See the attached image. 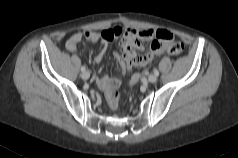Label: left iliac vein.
Wrapping results in <instances>:
<instances>
[{
	"mask_svg": "<svg viewBox=\"0 0 238 158\" xmlns=\"http://www.w3.org/2000/svg\"><path fill=\"white\" fill-rule=\"evenodd\" d=\"M148 81H149L150 83H155V82L157 81V75H155V74L149 75Z\"/></svg>",
	"mask_w": 238,
	"mask_h": 158,
	"instance_id": "left-iliac-vein-1",
	"label": "left iliac vein"
}]
</instances>
